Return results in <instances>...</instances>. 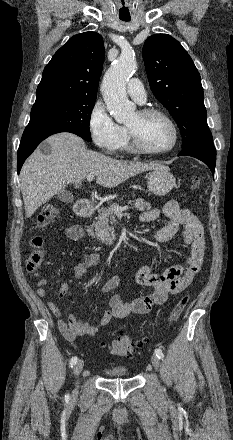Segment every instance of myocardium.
<instances>
[{
	"label": "myocardium",
	"instance_id": "f54148a6",
	"mask_svg": "<svg viewBox=\"0 0 233 440\" xmlns=\"http://www.w3.org/2000/svg\"><path fill=\"white\" fill-rule=\"evenodd\" d=\"M138 113L143 117L157 115V116H160L163 119H165L172 129L173 139H172L171 144L167 148L162 149V150H152V149L147 148L142 143L139 135L135 131H133L132 129L127 127V132H128L133 150L137 153H140L143 155H149V156H159V155H163V154L171 152L177 146V143L179 140V131H178L176 123L171 118V116L168 113H166L165 111H163L159 108H154V107L143 108V109L139 110Z\"/></svg>",
	"mask_w": 233,
	"mask_h": 440
}]
</instances>
